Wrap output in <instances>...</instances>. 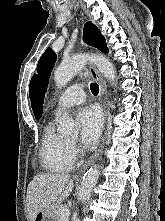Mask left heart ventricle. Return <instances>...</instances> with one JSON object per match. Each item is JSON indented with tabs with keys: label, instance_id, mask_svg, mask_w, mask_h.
<instances>
[{
	"label": "left heart ventricle",
	"instance_id": "left-heart-ventricle-1",
	"mask_svg": "<svg viewBox=\"0 0 165 221\" xmlns=\"http://www.w3.org/2000/svg\"><path fill=\"white\" fill-rule=\"evenodd\" d=\"M76 138L75 137H72L71 139H70V141H74Z\"/></svg>",
	"mask_w": 165,
	"mask_h": 221
}]
</instances>
